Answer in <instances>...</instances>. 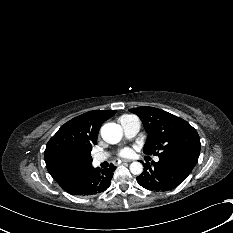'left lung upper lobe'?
<instances>
[{
  "instance_id": "left-lung-upper-lobe-1",
  "label": "left lung upper lobe",
  "mask_w": 233,
  "mask_h": 233,
  "mask_svg": "<svg viewBox=\"0 0 233 233\" xmlns=\"http://www.w3.org/2000/svg\"><path fill=\"white\" fill-rule=\"evenodd\" d=\"M138 115L148 134L144 153L173 160L189 169L200 154L197 131L185 120L164 110L142 106L129 110Z\"/></svg>"
}]
</instances>
